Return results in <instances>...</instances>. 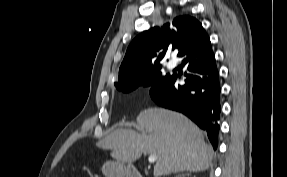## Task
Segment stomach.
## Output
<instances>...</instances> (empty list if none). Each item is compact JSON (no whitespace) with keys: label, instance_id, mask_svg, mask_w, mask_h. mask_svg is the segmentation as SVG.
Instances as JSON below:
<instances>
[{"label":"stomach","instance_id":"0dacf381","mask_svg":"<svg viewBox=\"0 0 287 177\" xmlns=\"http://www.w3.org/2000/svg\"><path fill=\"white\" fill-rule=\"evenodd\" d=\"M102 172L106 177H131L135 169L120 162L108 161L103 165Z\"/></svg>","mask_w":287,"mask_h":177}]
</instances>
